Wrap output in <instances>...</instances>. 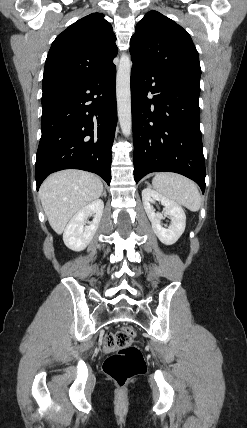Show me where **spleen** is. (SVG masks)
I'll list each match as a JSON object with an SVG mask.
<instances>
[{
	"mask_svg": "<svg viewBox=\"0 0 247 428\" xmlns=\"http://www.w3.org/2000/svg\"><path fill=\"white\" fill-rule=\"evenodd\" d=\"M152 185L161 195L178 202L192 212H196L201 206V195L196 184L177 173L159 172Z\"/></svg>",
	"mask_w": 247,
	"mask_h": 428,
	"instance_id": "3e777b00",
	"label": "spleen"
}]
</instances>
